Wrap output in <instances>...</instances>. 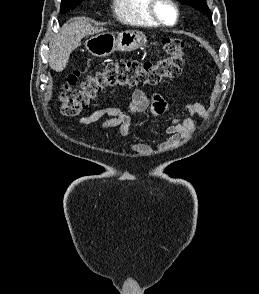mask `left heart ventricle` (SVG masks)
<instances>
[{
	"mask_svg": "<svg viewBox=\"0 0 259 294\" xmlns=\"http://www.w3.org/2000/svg\"><path fill=\"white\" fill-rule=\"evenodd\" d=\"M160 17L167 23H173L175 20V13L172 7L166 3H160L157 7Z\"/></svg>",
	"mask_w": 259,
	"mask_h": 294,
	"instance_id": "1",
	"label": "left heart ventricle"
}]
</instances>
